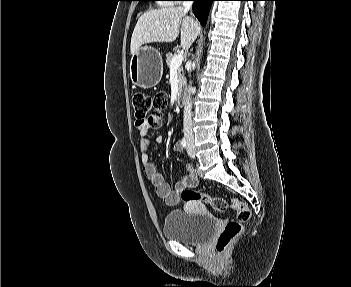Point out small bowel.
Masks as SVG:
<instances>
[{
	"mask_svg": "<svg viewBox=\"0 0 351 287\" xmlns=\"http://www.w3.org/2000/svg\"><path fill=\"white\" fill-rule=\"evenodd\" d=\"M136 127L139 131L138 143L140 158L146 176L155 186L158 196L167 205H176L179 202L180 193L186 188H194L198 183L193 166L190 164L185 165L186 174L176 183L175 188L172 189L165 181L164 176L158 172L155 164L149 158V147L152 142V139L149 136L152 129L149 126V120H136ZM153 140L160 143L163 138L161 135H157ZM174 149L177 152H181L183 150L181 142H177Z\"/></svg>",
	"mask_w": 351,
	"mask_h": 287,
	"instance_id": "1",
	"label": "small bowel"
}]
</instances>
